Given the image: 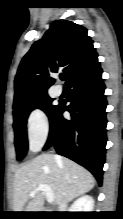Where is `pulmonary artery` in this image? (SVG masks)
Masks as SVG:
<instances>
[{
  "instance_id": "1",
  "label": "pulmonary artery",
  "mask_w": 123,
  "mask_h": 219,
  "mask_svg": "<svg viewBox=\"0 0 123 219\" xmlns=\"http://www.w3.org/2000/svg\"><path fill=\"white\" fill-rule=\"evenodd\" d=\"M62 92H63V90H62V88L60 87V86H56L55 88H54V93L56 94V95H61L62 94Z\"/></svg>"
}]
</instances>
